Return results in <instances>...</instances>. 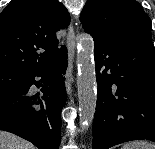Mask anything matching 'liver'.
Here are the masks:
<instances>
[{
    "label": "liver",
    "mask_w": 155,
    "mask_h": 149,
    "mask_svg": "<svg viewBox=\"0 0 155 149\" xmlns=\"http://www.w3.org/2000/svg\"><path fill=\"white\" fill-rule=\"evenodd\" d=\"M0 149H34V146L12 133L0 131Z\"/></svg>",
    "instance_id": "obj_1"
}]
</instances>
